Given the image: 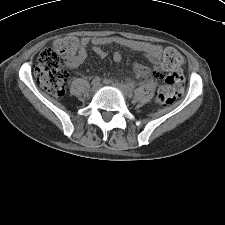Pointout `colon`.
Segmentation results:
<instances>
[{
  "label": "colon",
  "instance_id": "5ec220e1",
  "mask_svg": "<svg viewBox=\"0 0 225 225\" xmlns=\"http://www.w3.org/2000/svg\"><path fill=\"white\" fill-rule=\"evenodd\" d=\"M76 50V38L61 37L39 54L35 72L37 80L41 87L54 98H60L65 93L69 74L64 64H70L75 60ZM184 62L185 59L178 50L169 48L164 52L162 65L153 71L156 79L164 80L155 98L158 105L170 106L182 95L184 76L180 68Z\"/></svg>",
  "mask_w": 225,
  "mask_h": 225
}]
</instances>
